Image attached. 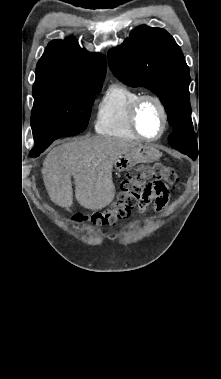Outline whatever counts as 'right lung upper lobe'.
<instances>
[{"instance_id":"obj_1","label":"right lung upper lobe","mask_w":221,"mask_h":379,"mask_svg":"<svg viewBox=\"0 0 221 379\" xmlns=\"http://www.w3.org/2000/svg\"><path fill=\"white\" fill-rule=\"evenodd\" d=\"M106 68L103 55L81 48L73 37L53 40L37 63L33 96L102 86Z\"/></svg>"}]
</instances>
